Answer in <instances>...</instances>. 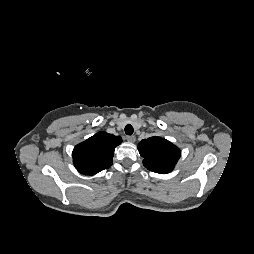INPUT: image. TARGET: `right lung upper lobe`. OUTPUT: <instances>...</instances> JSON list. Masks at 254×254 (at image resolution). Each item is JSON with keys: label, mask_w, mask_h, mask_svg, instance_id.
<instances>
[{"label": "right lung upper lobe", "mask_w": 254, "mask_h": 254, "mask_svg": "<svg viewBox=\"0 0 254 254\" xmlns=\"http://www.w3.org/2000/svg\"><path fill=\"white\" fill-rule=\"evenodd\" d=\"M122 139L106 132L94 136L74 147L73 163L81 174L94 175L112 165L115 147Z\"/></svg>", "instance_id": "obj_1"}]
</instances>
